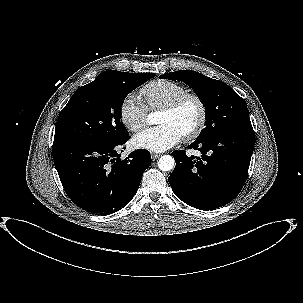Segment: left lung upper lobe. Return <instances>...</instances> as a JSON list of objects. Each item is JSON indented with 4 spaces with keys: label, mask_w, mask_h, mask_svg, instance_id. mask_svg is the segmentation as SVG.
<instances>
[{
    "label": "left lung upper lobe",
    "mask_w": 303,
    "mask_h": 303,
    "mask_svg": "<svg viewBox=\"0 0 303 303\" xmlns=\"http://www.w3.org/2000/svg\"><path fill=\"white\" fill-rule=\"evenodd\" d=\"M160 78L183 81L203 103L206 127L196 141L229 133H254L244 99L222 81L189 70L166 73Z\"/></svg>",
    "instance_id": "1"
}]
</instances>
